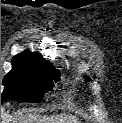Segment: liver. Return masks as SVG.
I'll use <instances>...</instances> for the list:
<instances>
[{
  "instance_id": "6515ba94",
  "label": "liver",
  "mask_w": 122,
  "mask_h": 123,
  "mask_svg": "<svg viewBox=\"0 0 122 123\" xmlns=\"http://www.w3.org/2000/svg\"><path fill=\"white\" fill-rule=\"evenodd\" d=\"M14 123H68L67 121H70L69 123H77L75 117H45L40 115H25L20 114L17 116V118L14 120Z\"/></svg>"
}]
</instances>
